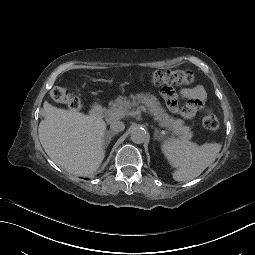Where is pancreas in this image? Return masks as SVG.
<instances>
[{
  "label": "pancreas",
  "instance_id": "1",
  "mask_svg": "<svg viewBox=\"0 0 255 255\" xmlns=\"http://www.w3.org/2000/svg\"><path fill=\"white\" fill-rule=\"evenodd\" d=\"M139 104H144L149 108L150 113L154 115V121L158 122L160 127L168 128V131L180 137L192 138L193 133L188 126H184V121L169 116L157 98L149 93L131 94L130 99L119 96L115 102L110 103L111 107L105 112V115L111 119H120L126 115L130 108Z\"/></svg>",
  "mask_w": 255,
  "mask_h": 255
}]
</instances>
